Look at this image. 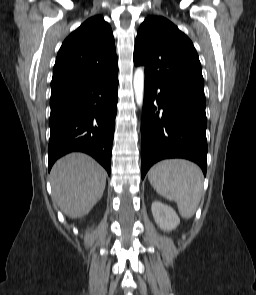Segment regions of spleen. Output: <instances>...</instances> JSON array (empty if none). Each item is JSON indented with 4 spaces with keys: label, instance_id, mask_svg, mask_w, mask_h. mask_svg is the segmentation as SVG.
Segmentation results:
<instances>
[{
    "label": "spleen",
    "instance_id": "spleen-1",
    "mask_svg": "<svg viewBox=\"0 0 256 295\" xmlns=\"http://www.w3.org/2000/svg\"><path fill=\"white\" fill-rule=\"evenodd\" d=\"M148 179L158 194L177 203L182 217L189 219L194 215L203 192V175L196 164L164 160L150 169Z\"/></svg>",
    "mask_w": 256,
    "mask_h": 295
}]
</instances>
